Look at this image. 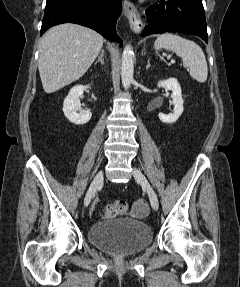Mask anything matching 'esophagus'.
Listing matches in <instances>:
<instances>
[{"label":"esophagus","mask_w":240,"mask_h":287,"mask_svg":"<svg viewBox=\"0 0 240 287\" xmlns=\"http://www.w3.org/2000/svg\"><path fill=\"white\" fill-rule=\"evenodd\" d=\"M123 10H124V15L127 17L129 21L131 29L135 33L141 32L144 25H143V22L140 18V15L135 5L129 0H124Z\"/></svg>","instance_id":"esophagus-1"}]
</instances>
